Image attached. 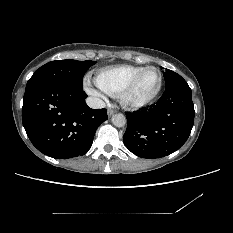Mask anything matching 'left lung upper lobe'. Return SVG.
I'll list each match as a JSON object with an SVG mask.
<instances>
[{"label": "left lung upper lobe", "mask_w": 233, "mask_h": 233, "mask_svg": "<svg viewBox=\"0 0 233 233\" xmlns=\"http://www.w3.org/2000/svg\"><path fill=\"white\" fill-rule=\"evenodd\" d=\"M163 76L165 79L166 88L175 84L178 81L184 80L179 74H177L169 69H166L165 72H163Z\"/></svg>", "instance_id": "1"}]
</instances>
